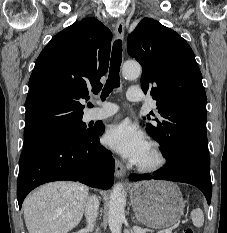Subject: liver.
Returning <instances> with one entry per match:
<instances>
[{
  "label": "liver",
  "instance_id": "obj_1",
  "mask_svg": "<svg viewBox=\"0 0 227 233\" xmlns=\"http://www.w3.org/2000/svg\"><path fill=\"white\" fill-rule=\"evenodd\" d=\"M88 187L75 182H52L29 194L23 202L29 233H68L81 221Z\"/></svg>",
  "mask_w": 227,
  "mask_h": 233
}]
</instances>
